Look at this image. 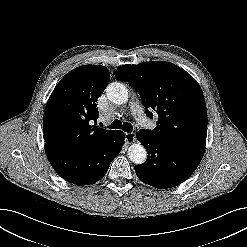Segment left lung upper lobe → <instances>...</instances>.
Instances as JSON below:
<instances>
[{
	"label": "left lung upper lobe",
	"mask_w": 247,
	"mask_h": 247,
	"mask_svg": "<svg viewBox=\"0 0 247 247\" xmlns=\"http://www.w3.org/2000/svg\"><path fill=\"white\" fill-rule=\"evenodd\" d=\"M140 95L146 114H158L153 130L140 131L162 144L204 154L207 109L201 87L184 69L165 61L123 65L113 71Z\"/></svg>",
	"instance_id": "left-lung-upper-lobe-1"
}]
</instances>
